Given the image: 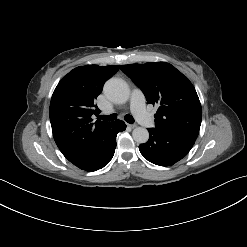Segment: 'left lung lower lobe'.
I'll return each mask as SVG.
<instances>
[{"mask_svg":"<svg viewBox=\"0 0 247 247\" xmlns=\"http://www.w3.org/2000/svg\"><path fill=\"white\" fill-rule=\"evenodd\" d=\"M149 140L140 144L139 150L143 157L160 166H171L181 160L190 151L196 139L159 132L148 129Z\"/></svg>","mask_w":247,"mask_h":247,"instance_id":"left-lung-lower-lobe-1","label":"left lung lower lobe"}]
</instances>
